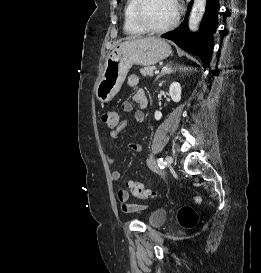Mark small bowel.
<instances>
[{
  "mask_svg": "<svg viewBox=\"0 0 261 273\" xmlns=\"http://www.w3.org/2000/svg\"><path fill=\"white\" fill-rule=\"evenodd\" d=\"M127 84L130 87H137L139 85V78L135 75H130L127 79ZM134 101L140 106L145 107L147 104V97L143 90H137L134 94ZM122 110L124 112H130L132 110V104L129 101H125L122 103ZM144 113L141 110H137L134 112V119L137 123H143L144 121ZM126 127V121H122L116 129L110 131L109 139L116 140L119 137L120 132ZM129 148L133 152H140L142 150V145L139 142L131 141L129 143ZM109 162L114 163V159L109 157ZM152 169H155V166L152 165ZM111 178L114 181H118L121 178V172L118 170H113L111 172ZM118 200L121 203V209L126 213H132L138 210L144 209L143 205H136L128 203L129 194L126 190H119L117 193Z\"/></svg>",
  "mask_w": 261,
  "mask_h": 273,
  "instance_id": "obj_1",
  "label": "small bowel"
}]
</instances>
